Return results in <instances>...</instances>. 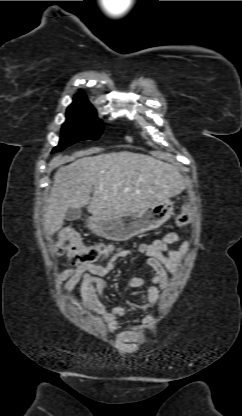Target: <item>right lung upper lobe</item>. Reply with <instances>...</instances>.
I'll list each match as a JSON object with an SVG mask.
<instances>
[{"mask_svg": "<svg viewBox=\"0 0 242 416\" xmlns=\"http://www.w3.org/2000/svg\"><path fill=\"white\" fill-rule=\"evenodd\" d=\"M90 104L84 96H77L71 105H85Z\"/></svg>", "mask_w": 242, "mask_h": 416, "instance_id": "right-lung-upper-lobe-1", "label": "right lung upper lobe"}]
</instances>
